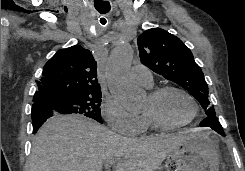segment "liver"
Instances as JSON below:
<instances>
[{
	"mask_svg": "<svg viewBox=\"0 0 245 171\" xmlns=\"http://www.w3.org/2000/svg\"><path fill=\"white\" fill-rule=\"evenodd\" d=\"M189 135L121 137L78 115L49 119L32 146L29 171H101L117 161L115 171H155Z\"/></svg>",
	"mask_w": 245,
	"mask_h": 171,
	"instance_id": "6515ba94",
	"label": "liver"
}]
</instances>
